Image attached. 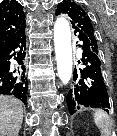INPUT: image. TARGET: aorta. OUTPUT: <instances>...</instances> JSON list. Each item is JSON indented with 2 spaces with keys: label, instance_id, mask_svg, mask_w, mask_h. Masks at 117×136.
I'll return each mask as SVG.
<instances>
[{
  "label": "aorta",
  "instance_id": "762f6f07",
  "mask_svg": "<svg viewBox=\"0 0 117 136\" xmlns=\"http://www.w3.org/2000/svg\"><path fill=\"white\" fill-rule=\"evenodd\" d=\"M54 43L58 76L67 84L72 76V46L70 24L65 17H58L54 24Z\"/></svg>",
  "mask_w": 117,
  "mask_h": 136
}]
</instances>
